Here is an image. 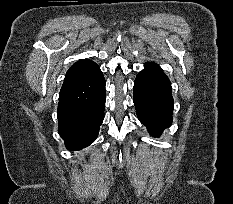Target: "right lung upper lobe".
<instances>
[{"label":"right lung upper lobe","mask_w":233,"mask_h":204,"mask_svg":"<svg viewBox=\"0 0 233 204\" xmlns=\"http://www.w3.org/2000/svg\"><path fill=\"white\" fill-rule=\"evenodd\" d=\"M96 66L98 65L91 60H80L67 71L64 82L81 77L91 72Z\"/></svg>","instance_id":"1"}]
</instances>
